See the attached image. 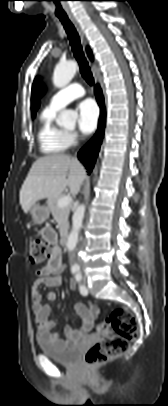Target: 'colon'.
<instances>
[{
  "label": "colon",
  "instance_id": "5ec220e1",
  "mask_svg": "<svg viewBox=\"0 0 168 406\" xmlns=\"http://www.w3.org/2000/svg\"><path fill=\"white\" fill-rule=\"evenodd\" d=\"M51 256V246L38 238L29 241V258L34 265L42 264ZM111 327L114 334L109 333ZM104 337L94 343L85 354L84 365L92 368L113 360L124 354L129 347V341L134 339L139 331L135 314L126 309L114 310L109 318L97 327Z\"/></svg>",
  "mask_w": 168,
  "mask_h": 406
}]
</instances>
